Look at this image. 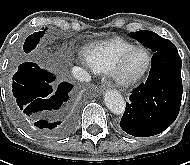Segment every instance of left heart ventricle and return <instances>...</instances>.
Listing matches in <instances>:
<instances>
[{
    "label": "left heart ventricle",
    "mask_w": 190,
    "mask_h": 165,
    "mask_svg": "<svg viewBox=\"0 0 190 165\" xmlns=\"http://www.w3.org/2000/svg\"><path fill=\"white\" fill-rule=\"evenodd\" d=\"M148 55L144 50L133 52L127 59L124 67V74L128 77H134L140 74L146 67Z\"/></svg>",
    "instance_id": "b2bd125f"
}]
</instances>
